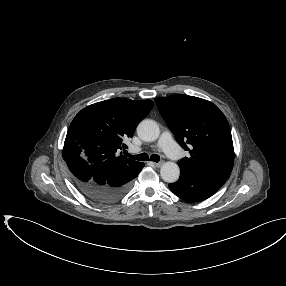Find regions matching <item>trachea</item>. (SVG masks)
Returning a JSON list of instances; mask_svg holds the SVG:
<instances>
[{"label": "trachea", "mask_w": 286, "mask_h": 286, "mask_svg": "<svg viewBox=\"0 0 286 286\" xmlns=\"http://www.w3.org/2000/svg\"><path fill=\"white\" fill-rule=\"evenodd\" d=\"M127 156L134 159V160H139V161H147L149 160V156L147 153H142V154H138V155H130L127 153ZM150 160L154 161V162H159L160 160V156L157 154H152L150 156Z\"/></svg>", "instance_id": "3493384b"}]
</instances>
